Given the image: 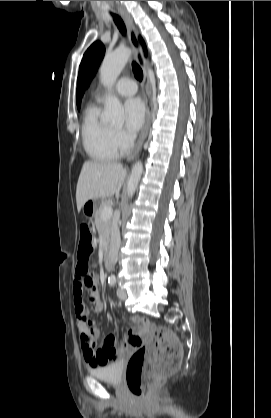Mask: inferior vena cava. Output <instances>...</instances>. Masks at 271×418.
<instances>
[{
    "label": "inferior vena cava",
    "mask_w": 271,
    "mask_h": 418,
    "mask_svg": "<svg viewBox=\"0 0 271 418\" xmlns=\"http://www.w3.org/2000/svg\"><path fill=\"white\" fill-rule=\"evenodd\" d=\"M136 139V134H133L130 138L131 146H134V141ZM120 231L117 221L113 223L111 231V240H110V255L112 260L115 262L116 256L120 247Z\"/></svg>",
    "instance_id": "obj_1"
}]
</instances>
